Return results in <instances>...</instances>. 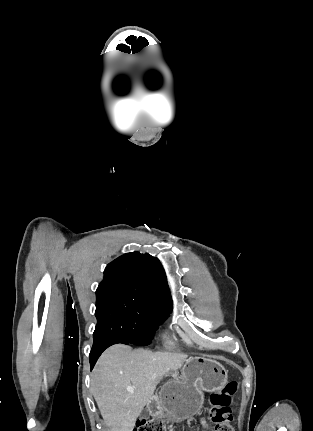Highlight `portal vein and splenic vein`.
I'll return each mask as SVG.
<instances>
[{
  "mask_svg": "<svg viewBox=\"0 0 313 431\" xmlns=\"http://www.w3.org/2000/svg\"><path fill=\"white\" fill-rule=\"evenodd\" d=\"M127 391L130 392V393H134L135 392L134 388L130 387V386L127 387Z\"/></svg>",
  "mask_w": 313,
  "mask_h": 431,
  "instance_id": "18ae733b",
  "label": "portal vein and splenic vein"
}]
</instances>
